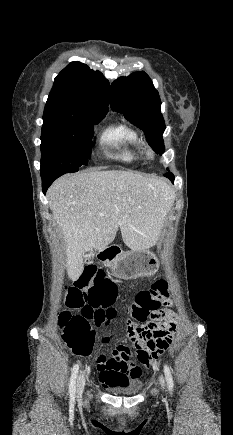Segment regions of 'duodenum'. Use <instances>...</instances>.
Returning <instances> with one entry per match:
<instances>
[{
	"label": "duodenum",
	"instance_id": "1",
	"mask_svg": "<svg viewBox=\"0 0 233 435\" xmlns=\"http://www.w3.org/2000/svg\"><path fill=\"white\" fill-rule=\"evenodd\" d=\"M121 249L118 246L105 244L94 254V258L105 264L112 265L119 257Z\"/></svg>",
	"mask_w": 233,
	"mask_h": 435
}]
</instances>
